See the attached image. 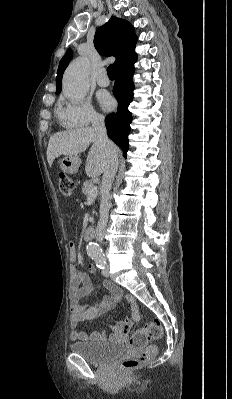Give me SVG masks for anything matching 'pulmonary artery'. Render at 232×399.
<instances>
[{"label": "pulmonary artery", "instance_id": "pulmonary-artery-1", "mask_svg": "<svg viewBox=\"0 0 232 399\" xmlns=\"http://www.w3.org/2000/svg\"><path fill=\"white\" fill-rule=\"evenodd\" d=\"M94 83H97L98 85L97 90H106L107 86L110 85L105 69H99L97 71V75L94 78Z\"/></svg>", "mask_w": 232, "mask_h": 399}]
</instances>
